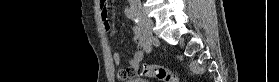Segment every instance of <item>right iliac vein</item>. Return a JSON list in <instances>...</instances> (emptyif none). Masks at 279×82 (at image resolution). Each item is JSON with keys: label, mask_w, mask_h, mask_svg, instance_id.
I'll return each instance as SVG.
<instances>
[{"label": "right iliac vein", "mask_w": 279, "mask_h": 82, "mask_svg": "<svg viewBox=\"0 0 279 82\" xmlns=\"http://www.w3.org/2000/svg\"><path fill=\"white\" fill-rule=\"evenodd\" d=\"M131 9L140 17L142 22H144L146 28L151 33L153 29V22L150 17L147 16L146 12L141 6H138L134 2H130Z\"/></svg>", "instance_id": "1"}]
</instances>
